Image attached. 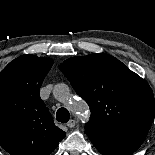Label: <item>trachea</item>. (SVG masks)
I'll use <instances>...</instances> for the list:
<instances>
[{
	"label": "trachea",
	"mask_w": 155,
	"mask_h": 155,
	"mask_svg": "<svg viewBox=\"0 0 155 155\" xmlns=\"http://www.w3.org/2000/svg\"><path fill=\"white\" fill-rule=\"evenodd\" d=\"M57 121L61 123H66L70 119L69 111L66 108H59L56 113Z\"/></svg>",
	"instance_id": "3493384b"
}]
</instances>
